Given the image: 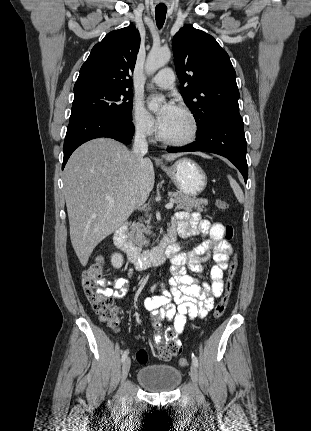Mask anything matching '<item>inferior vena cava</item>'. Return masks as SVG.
I'll list each match as a JSON object with an SVG mask.
<instances>
[{"label":"inferior vena cava","mask_w":311,"mask_h":431,"mask_svg":"<svg viewBox=\"0 0 311 431\" xmlns=\"http://www.w3.org/2000/svg\"><path fill=\"white\" fill-rule=\"evenodd\" d=\"M147 128L145 124H139L136 126L133 152L137 156L138 160H143V156L148 152Z\"/></svg>","instance_id":"602c4592"}]
</instances>
